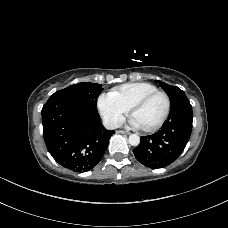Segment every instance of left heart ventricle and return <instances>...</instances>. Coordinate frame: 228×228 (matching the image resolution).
<instances>
[{
  "label": "left heart ventricle",
  "instance_id": "left-heart-ventricle-1",
  "mask_svg": "<svg viewBox=\"0 0 228 228\" xmlns=\"http://www.w3.org/2000/svg\"><path fill=\"white\" fill-rule=\"evenodd\" d=\"M166 107L165 98L157 95L150 99L145 105L137 108L132 117L141 128H147L156 124L162 117Z\"/></svg>",
  "mask_w": 228,
  "mask_h": 228
}]
</instances>
